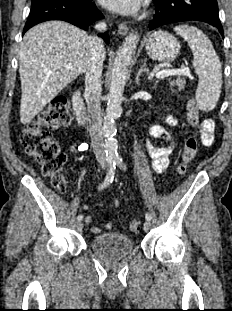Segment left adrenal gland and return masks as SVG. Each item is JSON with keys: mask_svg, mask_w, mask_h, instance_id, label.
Segmentation results:
<instances>
[{"mask_svg": "<svg viewBox=\"0 0 232 311\" xmlns=\"http://www.w3.org/2000/svg\"><path fill=\"white\" fill-rule=\"evenodd\" d=\"M146 62H147V60L145 59L143 65L141 66V68L139 69V71L137 73V76H136V79H135V83L136 84L139 83V81H140L139 77L142 75L143 72H147L148 73V69L146 68Z\"/></svg>", "mask_w": 232, "mask_h": 311, "instance_id": "1", "label": "left adrenal gland"}]
</instances>
